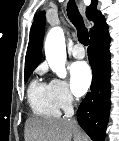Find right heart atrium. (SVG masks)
I'll use <instances>...</instances> for the list:
<instances>
[{
	"instance_id": "right-heart-atrium-1",
	"label": "right heart atrium",
	"mask_w": 119,
	"mask_h": 141,
	"mask_svg": "<svg viewBox=\"0 0 119 141\" xmlns=\"http://www.w3.org/2000/svg\"><path fill=\"white\" fill-rule=\"evenodd\" d=\"M49 85L60 109H71L75 99L70 91L68 83L63 79L53 78L49 82Z\"/></svg>"
}]
</instances>
